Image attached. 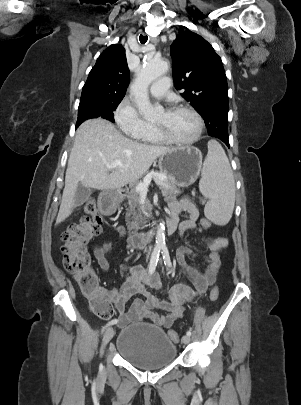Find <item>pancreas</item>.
Returning a JSON list of instances; mask_svg holds the SVG:
<instances>
[{
	"instance_id": "cf45deb5",
	"label": "pancreas",
	"mask_w": 301,
	"mask_h": 405,
	"mask_svg": "<svg viewBox=\"0 0 301 405\" xmlns=\"http://www.w3.org/2000/svg\"><path fill=\"white\" fill-rule=\"evenodd\" d=\"M166 176L165 174H162ZM158 186L161 190V193L165 201L176 200L177 196L181 193L169 180L166 176V180L158 181ZM135 184L131 191L128 193L129 209L126 214V225L130 233H136L140 229L145 227L146 219L143 217L140 208V194L136 191ZM146 206L148 208L147 202Z\"/></svg>"
}]
</instances>
